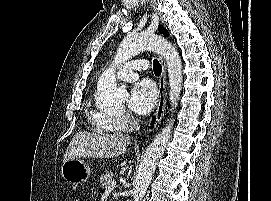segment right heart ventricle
Listing matches in <instances>:
<instances>
[{
	"label": "right heart ventricle",
	"mask_w": 271,
	"mask_h": 201,
	"mask_svg": "<svg viewBox=\"0 0 271 201\" xmlns=\"http://www.w3.org/2000/svg\"><path fill=\"white\" fill-rule=\"evenodd\" d=\"M108 115L104 113L89 112V121L92 127L102 132H118L120 128L113 125L108 120Z\"/></svg>",
	"instance_id": "right-heart-ventricle-1"
}]
</instances>
